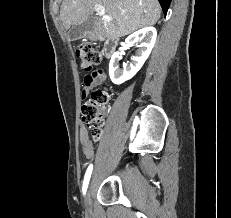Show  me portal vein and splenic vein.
<instances>
[{
  "instance_id": "obj_1",
  "label": "portal vein and splenic vein",
  "mask_w": 231,
  "mask_h": 218,
  "mask_svg": "<svg viewBox=\"0 0 231 218\" xmlns=\"http://www.w3.org/2000/svg\"><path fill=\"white\" fill-rule=\"evenodd\" d=\"M94 8H95V11H96L98 14L102 15L104 18L109 19V20H112V19L109 18L108 16H105V15H104V14H105V10H104V7H103L102 5L96 4V5L94 6Z\"/></svg>"
}]
</instances>
